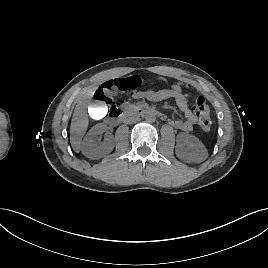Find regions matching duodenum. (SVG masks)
<instances>
[{
    "mask_svg": "<svg viewBox=\"0 0 268 268\" xmlns=\"http://www.w3.org/2000/svg\"><path fill=\"white\" fill-rule=\"evenodd\" d=\"M129 112L139 114V115H144V114H152V115H157L161 116V113L154 110L151 107L145 106V105H138L134 106L129 109H125L120 106H113L109 109L108 113V120L110 123H118L122 120V118Z\"/></svg>",
    "mask_w": 268,
    "mask_h": 268,
    "instance_id": "410a0bca",
    "label": "duodenum"
}]
</instances>
